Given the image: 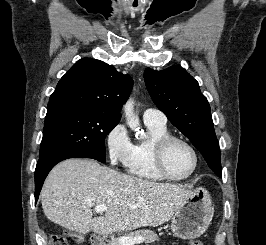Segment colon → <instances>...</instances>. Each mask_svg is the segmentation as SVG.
Listing matches in <instances>:
<instances>
[{"label": "colon", "instance_id": "obj_1", "mask_svg": "<svg viewBox=\"0 0 266 245\" xmlns=\"http://www.w3.org/2000/svg\"><path fill=\"white\" fill-rule=\"evenodd\" d=\"M65 236H68L67 232H63L62 234H51L50 244L51 245H69V242L67 241V238ZM72 237L76 242L81 241V238L78 235H72ZM192 245H200V243L197 240H194L192 242Z\"/></svg>", "mask_w": 266, "mask_h": 245}]
</instances>
